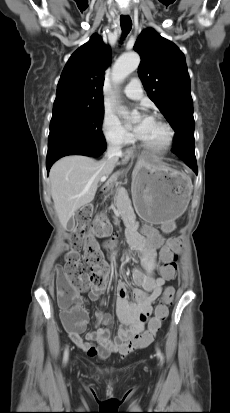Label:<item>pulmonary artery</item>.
Instances as JSON below:
<instances>
[{"mask_svg":"<svg viewBox=\"0 0 230 413\" xmlns=\"http://www.w3.org/2000/svg\"><path fill=\"white\" fill-rule=\"evenodd\" d=\"M124 94L134 100H138L143 96V89L139 78H131L123 89Z\"/></svg>","mask_w":230,"mask_h":413,"instance_id":"1","label":"pulmonary artery"}]
</instances>
